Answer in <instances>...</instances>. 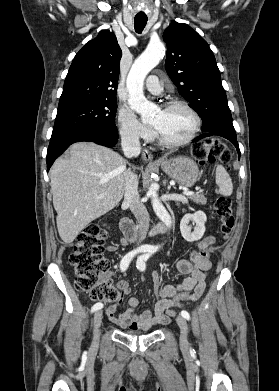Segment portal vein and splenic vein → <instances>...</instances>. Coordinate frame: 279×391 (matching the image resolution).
I'll return each mask as SVG.
<instances>
[{
    "instance_id": "18ae733b",
    "label": "portal vein and splenic vein",
    "mask_w": 279,
    "mask_h": 391,
    "mask_svg": "<svg viewBox=\"0 0 279 391\" xmlns=\"http://www.w3.org/2000/svg\"><path fill=\"white\" fill-rule=\"evenodd\" d=\"M193 194H194L193 191H184V192H183V195H187V196L193 195Z\"/></svg>"
}]
</instances>
